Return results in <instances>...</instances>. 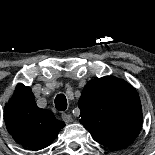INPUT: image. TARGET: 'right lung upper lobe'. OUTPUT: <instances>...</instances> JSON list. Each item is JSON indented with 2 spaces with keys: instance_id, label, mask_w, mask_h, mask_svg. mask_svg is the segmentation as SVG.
Segmentation results:
<instances>
[{
  "instance_id": "cb5924a9",
  "label": "right lung upper lobe",
  "mask_w": 155,
  "mask_h": 155,
  "mask_svg": "<svg viewBox=\"0 0 155 155\" xmlns=\"http://www.w3.org/2000/svg\"><path fill=\"white\" fill-rule=\"evenodd\" d=\"M4 109L9 134L18 144L33 151L50 145L65 126L50 110L39 108L31 89L23 84H18Z\"/></svg>"
}]
</instances>
